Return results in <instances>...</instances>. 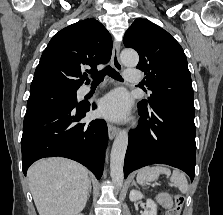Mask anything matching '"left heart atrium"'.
<instances>
[{
    "instance_id": "left-heart-atrium-1",
    "label": "left heart atrium",
    "mask_w": 223,
    "mask_h": 215,
    "mask_svg": "<svg viewBox=\"0 0 223 215\" xmlns=\"http://www.w3.org/2000/svg\"><path fill=\"white\" fill-rule=\"evenodd\" d=\"M130 100L124 91L116 90L100 102V112L111 119H123L128 114Z\"/></svg>"
}]
</instances>
